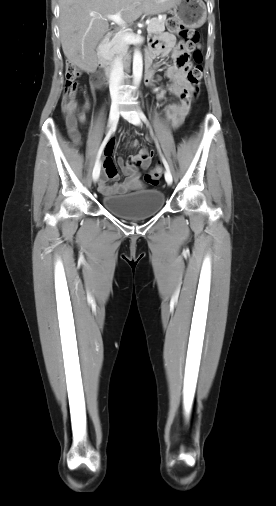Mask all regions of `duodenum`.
I'll use <instances>...</instances> for the list:
<instances>
[{
    "mask_svg": "<svg viewBox=\"0 0 276 506\" xmlns=\"http://www.w3.org/2000/svg\"><path fill=\"white\" fill-rule=\"evenodd\" d=\"M111 33H108L107 35H105V37L103 38L102 42H101V51L104 50V48L106 47V45L108 44L110 38H111ZM145 63H146V72H145V78H149L150 77V72H149V63H150V58L145 54ZM99 66L102 70H104V72L106 73L107 76H110L113 72V63L111 61H109L108 59H106L105 57L101 56L100 57V60H99ZM146 82V80H145Z\"/></svg>",
    "mask_w": 276,
    "mask_h": 506,
    "instance_id": "410a0bca",
    "label": "duodenum"
}]
</instances>
